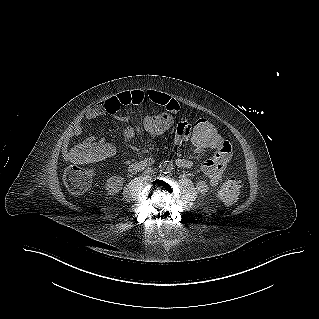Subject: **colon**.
I'll list each match as a JSON object with an SVG mask.
<instances>
[{
	"label": "colon",
	"instance_id": "obj_1",
	"mask_svg": "<svg viewBox=\"0 0 319 319\" xmlns=\"http://www.w3.org/2000/svg\"><path fill=\"white\" fill-rule=\"evenodd\" d=\"M190 140L206 152H218V142L225 139L224 131L208 120H196L191 124ZM172 131V118L163 111L151 112L145 119L136 125L127 123L122 126L120 135L123 140L132 142L140 137L163 138ZM176 131V130H175ZM186 136V135H184ZM229 143V142H228ZM230 145V144H229ZM125 145L118 138L105 139L100 148L96 145L81 143L67 151V158L73 162L63 173V182L67 190L75 195L83 194L90 185L91 171L83 165L97 162L101 158L107 163H118L125 156ZM242 180L236 177L226 180L218 190L219 199L226 205L233 204L239 197Z\"/></svg>",
	"mask_w": 319,
	"mask_h": 319
}]
</instances>
